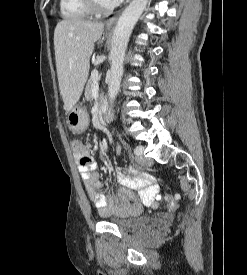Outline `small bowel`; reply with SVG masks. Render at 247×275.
Instances as JSON below:
<instances>
[{"label":"small bowel","instance_id":"small-bowel-1","mask_svg":"<svg viewBox=\"0 0 247 275\" xmlns=\"http://www.w3.org/2000/svg\"><path fill=\"white\" fill-rule=\"evenodd\" d=\"M78 167L89 197L100 214H130L140 211V205L121 194L102 193L103 184L97 172V162L86 152L85 159L77 156ZM117 181L122 187L137 190L143 205L152 206L159 199V187L152 176L129 167L127 172L117 171Z\"/></svg>","mask_w":247,"mask_h":275}]
</instances>
